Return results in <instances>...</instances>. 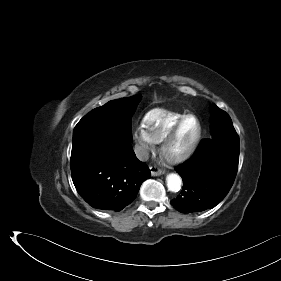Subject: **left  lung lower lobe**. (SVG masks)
<instances>
[{
  "mask_svg": "<svg viewBox=\"0 0 281 281\" xmlns=\"http://www.w3.org/2000/svg\"><path fill=\"white\" fill-rule=\"evenodd\" d=\"M238 162L239 138L226 142L203 140L196 154L175 168L184 186L171 205L182 213L215 207L231 189Z\"/></svg>",
  "mask_w": 281,
  "mask_h": 281,
  "instance_id": "1",
  "label": "left lung lower lobe"
}]
</instances>
